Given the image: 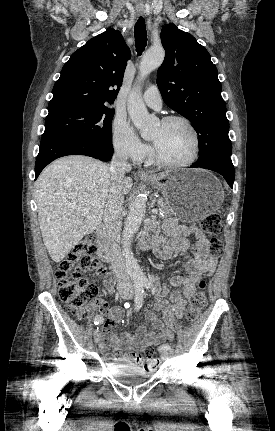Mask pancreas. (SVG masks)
<instances>
[{
  "mask_svg": "<svg viewBox=\"0 0 275 431\" xmlns=\"http://www.w3.org/2000/svg\"><path fill=\"white\" fill-rule=\"evenodd\" d=\"M157 207L159 211L164 214V217H170L172 215L168 204L162 198L158 199Z\"/></svg>",
  "mask_w": 275,
  "mask_h": 431,
  "instance_id": "1",
  "label": "pancreas"
}]
</instances>
